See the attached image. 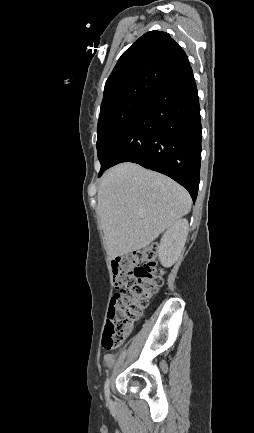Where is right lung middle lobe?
I'll use <instances>...</instances> for the list:
<instances>
[{"label": "right lung middle lobe", "instance_id": "right-lung-middle-lobe-1", "mask_svg": "<svg viewBox=\"0 0 254 433\" xmlns=\"http://www.w3.org/2000/svg\"><path fill=\"white\" fill-rule=\"evenodd\" d=\"M149 99L132 98L100 109L97 127V152L101 170L105 167L116 142Z\"/></svg>", "mask_w": 254, "mask_h": 433}]
</instances>
